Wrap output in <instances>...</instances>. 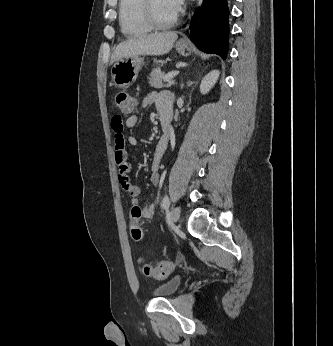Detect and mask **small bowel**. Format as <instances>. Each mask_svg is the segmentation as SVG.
I'll use <instances>...</instances> for the list:
<instances>
[{
    "instance_id": "1",
    "label": "small bowel",
    "mask_w": 333,
    "mask_h": 346,
    "mask_svg": "<svg viewBox=\"0 0 333 346\" xmlns=\"http://www.w3.org/2000/svg\"><path fill=\"white\" fill-rule=\"evenodd\" d=\"M155 104L160 116H165L171 120L173 101L172 96L168 92H151L145 95L140 101V107L146 108L151 104ZM137 115L129 116L125 121L118 116H114L111 122L115 132V161L119 168V182L122 189L130 196L132 208L138 207L141 210V217L151 219L155 215V205L141 206L138 200L140 187L133 184L128 173L130 172V164L128 162V153L125 149V143L136 145L137 140L133 136L126 135V130H130L137 125ZM168 146V138L161 137L156 144L154 157L152 162L151 182L157 186L159 184L158 168Z\"/></svg>"
}]
</instances>
